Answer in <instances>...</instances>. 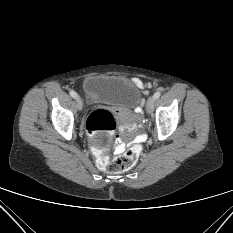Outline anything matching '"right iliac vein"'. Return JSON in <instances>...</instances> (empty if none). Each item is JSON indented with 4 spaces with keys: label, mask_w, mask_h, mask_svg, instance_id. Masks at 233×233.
<instances>
[{
    "label": "right iliac vein",
    "mask_w": 233,
    "mask_h": 233,
    "mask_svg": "<svg viewBox=\"0 0 233 233\" xmlns=\"http://www.w3.org/2000/svg\"><path fill=\"white\" fill-rule=\"evenodd\" d=\"M75 100L77 102L79 110H82V108H83V102H82V99L80 98V96L76 95Z\"/></svg>",
    "instance_id": "right-iliac-vein-1"
}]
</instances>
